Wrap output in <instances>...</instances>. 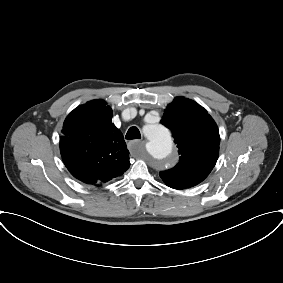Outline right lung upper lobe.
<instances>
[{
  "instance_id": "obj_1",
  "label": "right lung upper lobe",
  "mask_w": 283,
  "mask_h": 283,
  "mask_svg": "<svg viewBox=\"0 0 283 283\" xmlns=\"http://www.w3.org/2000/svg\"><path fill=\"white\" fill-rule=\"evenodd\" d=\"M93 100L78 106L66 118L60 140L63 161L82 182L105 183L130 166L123 135L112 124V109Z\"/></svg>"
}]
</instances>
